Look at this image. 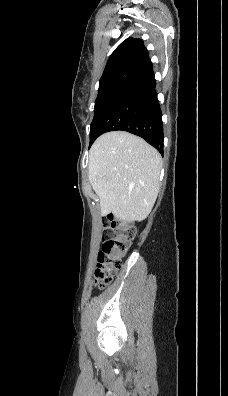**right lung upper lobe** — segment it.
<instances>
[{
  "mask_svg": "<svg viewBox=\"0 0 228 396\" xmlns=\"http://www.w3.org/2000/svg\"><path fill=\"white\" fill-rule=\"evenodd\" d=\"M151 68L152 63L143 41L128 38L111 54L99 87L110 84L129 85Z\"/></svg>",
  "mask_w": 228,
  "mask_h": 396,
  "instance_id": "cb5924a9",
  "label": "right lung upper lobe"
}]
</instances>
